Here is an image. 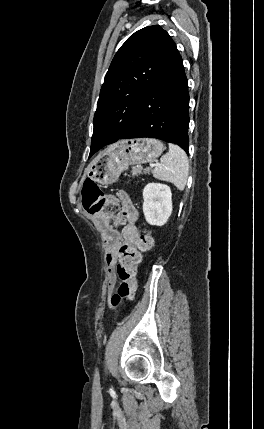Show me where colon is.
Returning a JSON list of instances; mask_svg holds the SVG:
<instances>
[{
	"mask_svg": "<svg viewBox=\"0 0 264 429\" xmlns=\"http://www.w3.org/2000/svg\"><path fill=\"white\" fill-rule=\"evenodd\" d=\"M82 204L92 215L102 214L114 220L115 224L123 222V216L118 200L109 194H105L97 184L86 181L82 187ZM153 246L151 234L144 231L138 244L134 248L123 249L119 254L116 266L118 284L111 295V305L116 307L124 300L132 299L137 289V268L143 252Z\"/></svg>",
	"mask_w": 264,
	"mask_h": 429,
	"instance_id": "colon-1",
	"label": "colon"
}]
</instances>
